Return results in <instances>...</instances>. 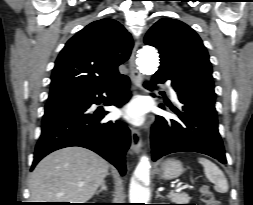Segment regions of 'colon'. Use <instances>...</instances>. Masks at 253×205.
I'll return each instance as SVG.
<instances>
[{
	"mask_svg": "<svg viewBox=\"0 0 253 205\" xmlns=\"http://www.w3.org/2000/svg\"><path fill=\"white\" fill-rule=\"evenodd\" d=\"M201 200L204 205H221L220 201L215 197L208 186L201 188Z\"/></svg>",
	"mask_w": 253,
	"mask_h": 205,
	"instance_id": "5ec220e1",
	"label": "colon"
}]
</instances>
